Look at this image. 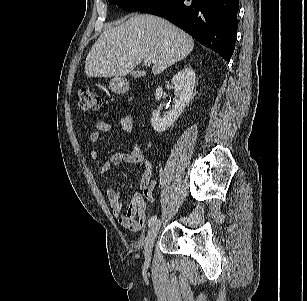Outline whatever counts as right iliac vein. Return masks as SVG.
Here are the masks:
<instances>
[{
  "mask_svg": "<svg viewBox=\"0 0 307 301\" xmlns=\"http://www.w3.org/2000/svg\"><path fill=\"white\" fill-rule=\"evenodd\" d=\"M161 226V221L155 222L149 229L148 234L145 239V244H144V256L146 263L148 264L151 260V251H152V246L153 243L157 237V234L159 232V228Z\"/></svg>",
  "mask_w": 307,
  "mask_h": 301,
  "instance_id": "1",
  "label": "right iliac vein"
}]
</instances>
